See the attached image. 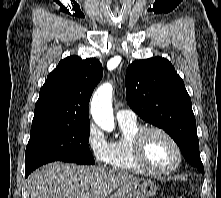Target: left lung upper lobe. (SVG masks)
<instances>
[{"label":"left lung upper lobe","instance_id":"obj_1","mask_svg":"<svg viewBox=\"0 0 221 198\" xmlns=\"http://www.w3.org/2000/svg\"><path fill=\"white\" fill-rule=\"evenodd\" d=\"M126 98L142 119L165 130L186 160L204 173L191 99L167 59L155 57L130 64L126 72Z\"/></svg>","mask_w":221,"mask_h":198}]
</instances>
